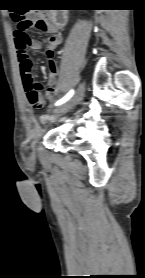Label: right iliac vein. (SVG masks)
Masks as SVG:
<instances>
[{"instance_id":"obj_1","label":"right iliac vein","mask_w":145,"mask_h":278,"mask_svg":"<svg viewBox=\"0 0 145 278\" xmlns=\"http://www.w3.org/2000/svg\"><path fill=\"white\" fill-rule=\"evenodd\" d=\"M84 94V87L83 85H80L76 91V93L73 95V97L71 99H69L66 103H64L63 105L55 108L53 110V114L54 115H58V114H62V113H66L69 110H71L75 105H77L79 103V101L82 99Z\"/></svg>"}]
</instances>
